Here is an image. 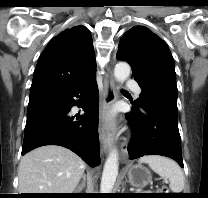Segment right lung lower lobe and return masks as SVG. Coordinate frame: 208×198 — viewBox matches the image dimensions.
<instances>
[{"label": "right lung lower lobe", "mask_w": 208, "mask_h": 198, "mask_svg": "<svg viewBox=\"0 0 208 198\" xmlns=\"http://www.w3.org/2000/svg\"><path fill=\"white\" fill-rule=\"evenodd\" d=\"M74 105L85 112L77 116L78 121L70 116ZM98 108L95 75L67 93L30 102L21 155L40 146L59 145L78 154L90 166H98Z\"/></svg>", "instance_id": "obj_1"}]
</instances>
